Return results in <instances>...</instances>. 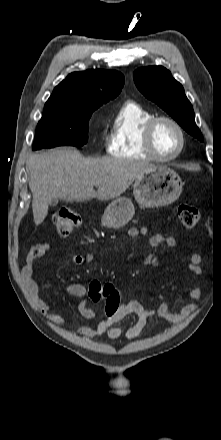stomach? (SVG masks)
<instances>
[{"instance_id":"obj_1","label":"stomach","mask_w":221,"mask_h":440,"mask_svg":"<svg viewBox=\"0 0 221 440\" xmlns=\"http://www.w3.org/2000/svg\"><path fill=\"white\" fill-rule=\"evenodd\" d=\"M183 182L171 168L158 165L135 180L133 195L137 203L144 207L165 206L181 195ZM134 205L130 199L119 197L105 209L101 224L107 228L123 227L134 215Z\"/></svg>"}]
</instances>
